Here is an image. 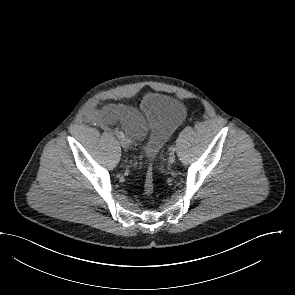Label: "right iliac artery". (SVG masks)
Listing matches in <instances>:
<instances>
[{"instance_id": "82829eb1", "label": "right iliac artery", "mask_w": 295, "mask_h": 295, "mask_svg": "<svg viewBox=\"0 0 295 295\" xmlns=\"http://www.w3.org/2000/svg\"><path fill=\"white\" fill-rule=\"evenodd\" d=\"M116 136H117L119 139L124 138V135H123V133H122L121 131H117V132H116Z\"/></svg>"}]
</instances>
